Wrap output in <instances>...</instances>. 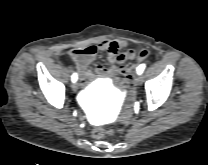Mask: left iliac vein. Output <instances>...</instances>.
Wrapping results in <instances>:
<instances>
[{"label":"left iliac vein","instance_id":"4c4485c4","mask_svg":"<svg viewBox=\"0 0 208 165\" xmlns=\"http://www.w3.org/2000/svg\"><path fill=\"white\" fill-rule=\"evenodd\" d=\"M142 82H143V77H142V75L137 76V78H136V83H137L138 85H141Z\"/></svg>","mask_w":208,"mask_h":165}]
</instances>
